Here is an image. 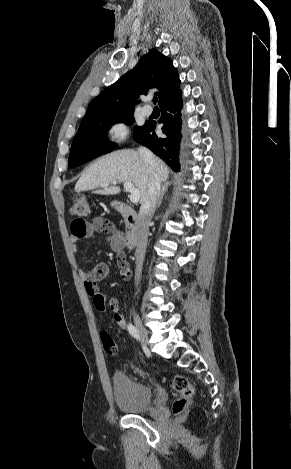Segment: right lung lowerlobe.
Segmentation results:
<instances>
[{
  "mask_svg": "<svg viewBox=\"0 0 291 469\" xmlns=\"http://www.w3.org/2000/svg\"><path fill=\"white\" fill-rule=\"evenodd\" d=\"M182 92L179 89L174 95L163 100L159 106L163 123L164 135L155 134V121H148L139 130L134 132V140L149 148L153 153L162 158L174 171H179V145L181 139V109Z\"/></svg>",
  "mask_w": 291,
  "mask_h": 469,
  "instance_id": "1",
  "label": "right lung lower lobe"
}]
</instances>
